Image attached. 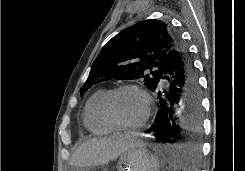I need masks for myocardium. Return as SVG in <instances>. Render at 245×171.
I'll return each instance as SVG.
<instances>
[{"mask_svg":"<svg viewBox=\"0 0 245 171\" xmlns=\"http://www.w3.org/2000/svg\"><path fill=\"white\" fill-rule=\"evenodd\" d=\"M124 90H136L144 97L146 103L145 113L142 120L137 124H133V125L123 124L117 120V118L114 116L112 112L111 109L112 99L116 94ZM151 106H152V100L149 93L146 91V89H144L142 86L138 84L126 83V84H121L119 86H116L105 93L101 101V112L105 120L114 128L122 131H136L142 129L147 124L151 115Z\"/></svg>","mask_w":245,"mask_h":171,"instance_id":"myocardium-1","label":"myocardium"}]
</instances>
